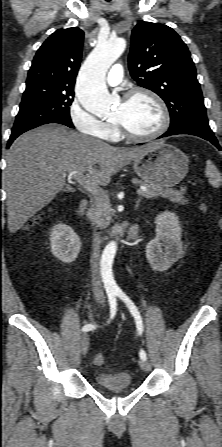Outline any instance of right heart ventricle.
Returning <instances> with one entry per match:
<instances>
[{
    "mask_svg": "<svg viewBox=\"0 0 222 447\" xmlns=\"http://www.w3.org/2000/svg\"><path fill=\"white\" fill-rule=\"evenodd\" d=\"M100 137L113 141L120 138V133L117 130L116 126L113 123L109 122L105 123L104 132L100 135Z\"/></svg>",
    "mask_w": 222,
    "mask_h": 447,
    "instance_id": "1",
    "label": "right heart ventricle"
}]
</instances>
